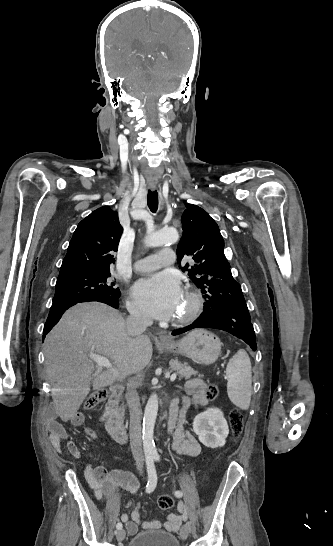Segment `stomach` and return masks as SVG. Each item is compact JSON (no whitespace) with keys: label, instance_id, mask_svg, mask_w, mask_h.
<instances>
[{"label":"stomach","instance_id":"obj_1","mask_svg":"<svg viewBox=\"0 0 333 546\" xmlns=\"http://www.w3.org/2000/svg\"><path fill=\"white\" fill-rule=\"evenodd\" d=\"M162 346L171 353L184 355L203 365L213 364L221 352L219 338L205 329H196L182 339Z\"/></svg>","mask_w":333,"mask_h":546}]
</instances>
